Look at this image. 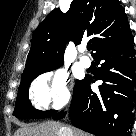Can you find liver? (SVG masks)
I'll list each match as a JSON object with an SVG mask.
<instances>
[{
    "label": "liver",
    "instance_id": "6515ba94",
    "mask_svg": "<svg viewBox=\"0 0 136 136\" xmlns=\"http://www.w3.org/2000/svg\"><path fill=\"white\" fill-rule=\"evenodd\" d=\"M14 136H87L79 130H73L53 121L20 128Z\"/></svg>",
    "mask_w": 136,
    "mask_h": 136
}]
</instances>
